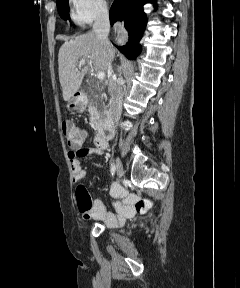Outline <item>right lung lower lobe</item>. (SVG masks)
<instances>
[{
	"label": "right lung lower lobe",
	"instance_id": "98d812e1",
	"mask_svg": "<svg viewBox=\"0 0 240 288\" xmlns=\"http://www.w3.org/2000/svg\"><path fill=\"white\" fill-rule=\"evenodd\" d=\"M147 2L154 3L156 0H115L110 9V23L123 21L129 33L127 45L117 48L129 59L135 58L141 51L138 44L147 23L146 15L143 12V5Z\"/></svg>",
	"mask_w": 240,
	"mask_h": 288
}]
</instances>
